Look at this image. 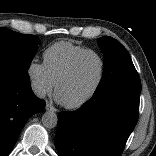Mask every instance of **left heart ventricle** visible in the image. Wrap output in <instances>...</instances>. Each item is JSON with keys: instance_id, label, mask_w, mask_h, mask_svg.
<instances>
[{"instance_id": "left-heart-ventricle-1", "label": "left heart ventricle", "mask_w": 156, "mask_h": 156, "mask_svg": "<svg viewBox=\"0 0 156 156\" xmlns=\"http://www.w3.org/2000/svg\"><path fill=\"white\" fill-rule=\"evenodd\" d=\"M101 64L97 56L87 55L76 65L71 77L59 88L58 98L63 103H75L84 98L100 76Z\"/></svg>"}]
</instances>
